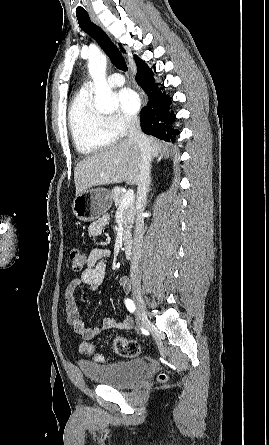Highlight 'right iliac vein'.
Segmentation results:
<instances>
[{"label": "right iliac vein", "mask_w": 269, "mask_h": 445, "mask_svg": "<svg viewBox=\"0 0 269 445\" xmlns=\"http://www.w3.org/2000/svg\"><path fill=\"white\" fill-rule=\"evenodd\" d=\"M133 299H134L136 309H137L138 324L141 327H145L149 323V321L147 319L146 312H145L144 299H143L141 292L138 288H135L133 290Z\"/></svg>", "instance_id": "1"}]
</instances>
